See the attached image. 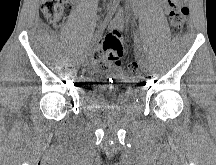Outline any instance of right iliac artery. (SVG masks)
<instances>
[{
    "instance_id": "1",
    "label": "right iliac artery",
    "mask_w": 216,
    "mask_h": 165,
    "mask_svg": "<svg viewBox=\"0 0 216 165\" xmlns=\"http://www.w3.org/2000/svg\"><path fill=\"white\" fill-rule=\"evenodd\" d=\"M117 5H118L117 1L114 0L113 6H112L111 9L109 10V12H108V14L106 15L104 21H103V22L100 24V26L98 27V30L96 31V33H95V35H94L93 41H97V40L100 39V37H101V35H102L104 29L106 28L108 22L110 21V19L113 17V15H114V13H115L116 8H117ZM88 46H89V45H86V51H85L84 54H83V58H82V59H83V60H82V63H83V64H86V63H87V60H86V59H87V57H88V55H89V52H90L89 49L87 48Z\"/></svg>"
}]
</instances>
